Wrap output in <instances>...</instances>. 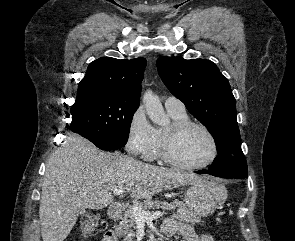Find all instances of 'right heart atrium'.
Here are the masks:
<instances>
[{
	"instance_id": "d8ad5b80",
	"label": "right heart atrium",
	"mask_w": 295,
	"mask_h": 241,
	"mask_svg": "<svg viewBox=\"0 0 295 241\" xmlns=\"http://www.w3.org/2000/svg\"><path fill=\"white\" fill-rule=\"evenodd\" d=\"M155 141V129L142 107L137 108L128 122L126 147L132 154L147 157Z\"/></svg>"
}]
</instances>
